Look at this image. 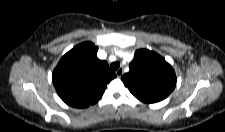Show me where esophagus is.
Segmentation results:
<instances>
[{
	"label": "esophagus",
	"mask_w": 225,
	"mask_h": 132,
	"mask_svg": "<svg viewBox=\"0 0 225 132\" xmlns=\"http://www.w3.org/2000/svg\"><path fill=\"white\" fill-rule=\"evenodd\" d=\"M115 73L117 77H121L123 75V68H119Z\"/></svg>",
	"instance_id": "obj_1"
}]
</instances>
